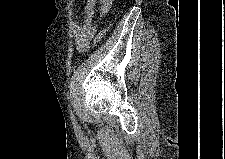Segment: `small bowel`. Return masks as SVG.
I'll return each mask as SVG.
<instances>
[{
  "label": "small bowel",
  "instance_id": "obj_1",
  "mask_svg": "<svg viewBox=\"0 0 225 159\" xmlns=\"http://www.w3.org/2000/svg\"><path fill=\"white\" fill-rule=\"evenodd\" d=\"M112 5V0H102L100 6V14L105 15ZM96 7L95 0H88L86 4V21L85 24L78 26L75 31V46L79 52L88 49L93 34L94 27L91 25Z\"/></svg>",
  "mask_w": 225,
  "mask_h": 159
}]
</instances>
